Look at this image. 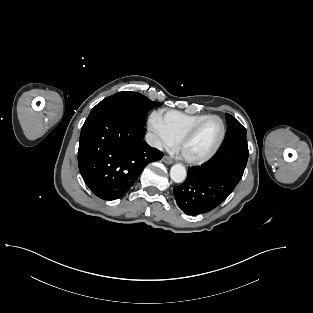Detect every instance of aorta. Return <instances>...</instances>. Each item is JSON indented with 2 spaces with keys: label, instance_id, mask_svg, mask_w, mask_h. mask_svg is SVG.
<instances>
[{
  "label": "aorta",
  "instance_id": "1",
  "mask_svg": "<svg viewBox=\"0 0 313 313\" xmlns=\"http://www.w3.org/2000/svg\"><path fill=\"white\" fill-rule=\"evenodd\" d=\"M187 172L183 165L175 164L171 167L170 177L175 183H181L186 179Z\"/></svg>",
  "mask_w": 313,
  "mask_h": 313
}]
</instances>
